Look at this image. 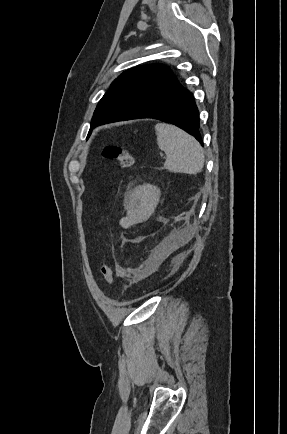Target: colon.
I'll use <instances>...</instances> for the list:
<instances>
[{
    "label": "colon",
    "mask_w": 287,
    "mask_h": 434,
    "mask_svg": "<svg viewBox=\"0 0 287 434\" xmlns=\"http://www.w3.org/2000/svg\"><path fill=\"white\" fill-rule=\"evenodd\" d=\"M104 156L116 160L121 167L129 168L134 163V157L132 152L123 147L118 146H107L104 148ZM101 275L104 282L107 285H111L113 282V271L109 264L105 263L101 268Z\"/></svg>",
    "instance_id": "colon-1"
}]
</instances>
